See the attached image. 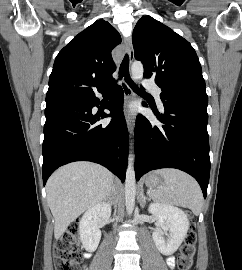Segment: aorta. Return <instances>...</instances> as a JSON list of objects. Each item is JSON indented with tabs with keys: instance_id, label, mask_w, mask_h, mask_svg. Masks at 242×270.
<instances>
[{
	"instance_id": "obj_1",
	"label": "aorta",
	"mask_w": 242,
	"mask_h": 270,
	"mask_svg": "<svg viewBox=\"0 0 242 270\" xmlns=\"http://www.w3.org/2000/svg\"><path fill=\"white\" fill-rule=\"evenodd\" d=\"M143 72H144L143 64L139 61H135L131 66L132 79L135 82L140 80L143 77ZM135 195H136V178L134 170V155L129 154L125 180V206L128 215H131L134 210Z\"/></svg>"
}]
</instances>
